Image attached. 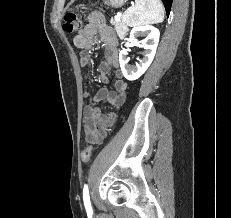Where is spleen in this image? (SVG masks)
Listing matches in <instances>:
<instances>
[{"mask_svg":"<svg viewBox=\"0 0 231 218\" xmlns=\"http://www.w3.org/2000/svg\"><path fill=\"white\" fill-rule=\"evenodd\" d=\"M128 26L161 23L164 20V8L160 0H135V5L123 14Z\"/></svg>","mask_w":231,"mask_h":218,"instance_id":"obj_1","label":"spleen"}]
</instances>
